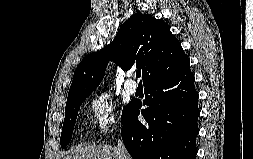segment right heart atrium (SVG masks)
<instances>
[{"label":"right heart atrium","instance_id":"d8ad5b80","mask_svg":"<svg viewBox=\"0 0 253 159\" xmlns=\"http://www.w3.org/2000/svg\"><path fill=\"white\" fill-rule=\"evenodd\" d=\"M88 109L100 139L108 138L120 127V116L113 99L105 93L91 98Z\"/></svg>","mask_w":253,"mask_h":159}]
</instances>
